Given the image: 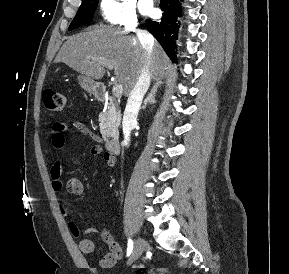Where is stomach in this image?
I'll list each match as a JSON object with an SVG mask.
<instances>
[{
    "label": "stomach",
    "mask_w": 289,
    "mask_h": 274,
    "mask_svg": "<svg viewBox=\"0 0 289 274\" xmlns=\"http://www.w3.org/2000/svg\"><path fill=\"white\" fill-rule=\"evenodd\" d=\"M80 86L88 93L95 94L97 92L98 84L90 77L85 75L78 76Z\"/></svg>",
    "instance_id": "1"
}]
</instances>
